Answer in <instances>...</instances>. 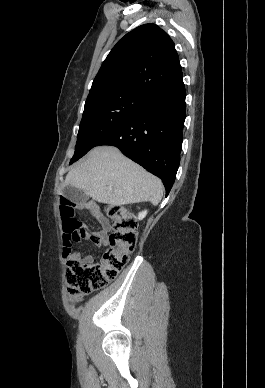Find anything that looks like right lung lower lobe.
Masks as SVG:
<instances>
[{
  "label": "right lung lower lobe",
  "mask_w": 265,
  "mask_h": 388,
  "mask_svg": "<svg viewBox=\"0 0 265 388\" xmlns=\"http://www.w3.org/2000/svg\"><path fill=\"white\" fill-rule=\"evenodd\" d=\"M183 79L148 94L120 125L97 144L112 145L158 176L168 195L180 163L186 117Z\"/></svg>",
  "instance_id": "1"
}]
</instances>
